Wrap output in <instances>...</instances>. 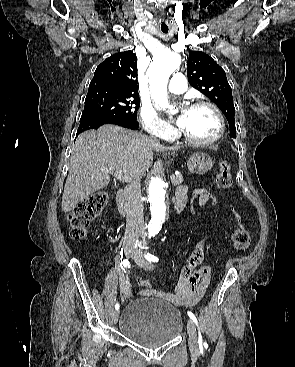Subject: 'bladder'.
Masks as SVG:
<instances>
[{"label": "bladder", "instance_id": "1", "mask_svg": "<svg viewBox=\"0 0 295 367\" xmlns=\"http://www.w3.org/2000/svg\"><path fill=\"white\" fill-rule=\"evenodd\" d=\"M119 328L134 343L157 347L174 340L182 331L180 311L157 297H141L130 301L122 311Z\"/></svg>", "mask_w": 295, "mask_h": 367}]
</instances>
